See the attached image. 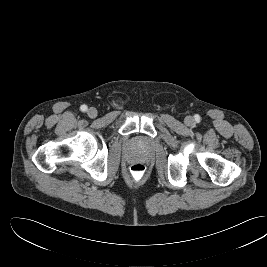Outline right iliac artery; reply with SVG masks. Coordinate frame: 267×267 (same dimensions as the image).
<instances>
[{"instance_id": "obj_1", "label": "right iliac artery", "mask_w": 267, "mask_h": 267, "mask_svg": "<svg viewBox=\"0 0 267 267\" xmlns=\"http://www.w3.org/2000/svg\"><path fill=\"white\" fill-rule=\"evenodd\" d=\"M80 110H81L82 112L87 111V106H86V105H81Z\"/></svg>"}]
</instances>
